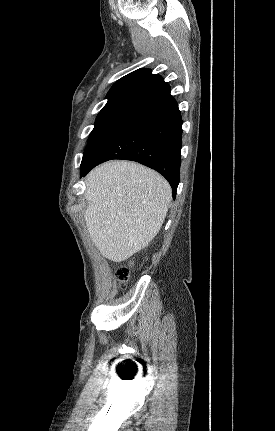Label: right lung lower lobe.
<instances>
[{
  "instance_id": "obj_1",
  "label": "right lung lower lobe",
  "mask_w": 275,
  "mask_h": 431,
  "mask_svg": "<svg viewBox=\"0 0 275 431\" xmlns=\"http://www.w3.org/2000/svg\"><path fill=\"white\" fill-rule=\"evenodd\" d=\"M181 144V113L168 93L137 110L93 160L81 168L80 176L111 159L132 160L162 174L170 183L175 199L180 180Z\"/></svg>"
}]
</instances>
